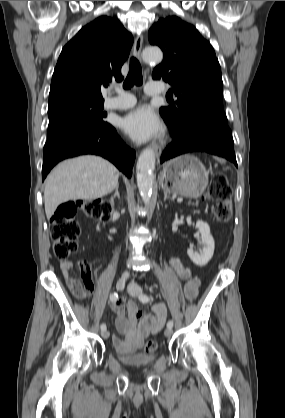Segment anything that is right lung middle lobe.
<instances>
[{"label": "right lung middle lobe", "mask_w": 285, "mask_h": 418, "mask_svg": "<svg viewBox=\"0 0 285 418\" xmlns=\"http://www.w3.org/2000/svg\"><path fill=\"white\" fill-rule=\"evenodd\" d=\"M103 103L97 101H66L48 107L47 140L64 132L78 128H104L109 124L103 120Z\"/></svg>", "instance_id": "1"}]
</instances>
